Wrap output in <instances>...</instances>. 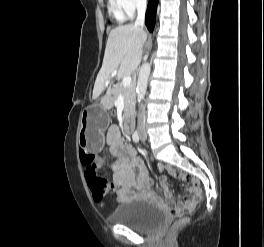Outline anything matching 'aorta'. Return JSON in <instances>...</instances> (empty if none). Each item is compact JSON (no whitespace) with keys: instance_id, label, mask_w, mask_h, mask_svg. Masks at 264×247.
I'll return each mask as SVG.
<instances>
[{"instance_id":"1","label":"aorta","mask_w":264,"mask_h":247,"mask_svg":"<svg viewBox=\"0 0 264 247\" xmlns=\"http://www.w3.org/2000/svg\"><path fill=\"white\" fill-rule=\"evenodd\" d=\"M150 70L151 65L148 62L144 63L140 68L136 87L137 100L139 103L144 99Z\"/></svg>"}]
</instances>
